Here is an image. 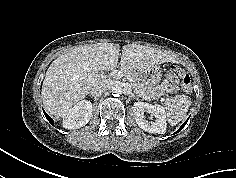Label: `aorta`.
Here are the masks:
<instances>
[{
    "instance_id": "762f6f07",
    "label": "aorta",
    "mask_w": 236,
    "mask_h": 178,
    "mask_svg": "<svg viewBox=\"0 0 236 178\" xmlns=\"http://www.w3.org/2000/svg\"><path fill=\"white\" fill-rule=\"evenodd\" d=\"M112 95L119 96L123 93V88L120 85H113L111 88Z\"/></svg>"
}]
</instances>
